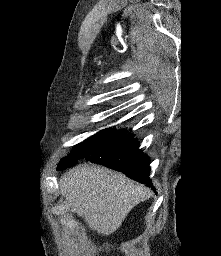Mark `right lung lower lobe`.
Returning a JSON list of instances; mask_svg holds the SVG:
<instances>
[{
  "label": "right lung lower lobe",
  "mask_w": 221,
  "mask_h": 256,
  "mask_svg": "<svg viewBox=\"0 0 221 256\" xmlns=\"http://www.w3.org/2000/svg\"><path fill=\"white\" fill-rule=\"evenodd\" d=\"M126 174L129 178L152 187L149 159L139 149L137 139L128 133L84 158Z\"/></svg>",
  "instance_id": "obj_1"
}]
</instances>
